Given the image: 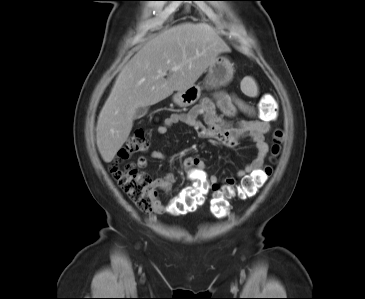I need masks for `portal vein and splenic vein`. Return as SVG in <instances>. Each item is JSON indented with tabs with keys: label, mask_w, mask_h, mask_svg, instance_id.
Instances as JSON below:
<instances>
[{
	"label": "portal vein and splenic vein",
	"mask_w": 365,
	"mask_h": 299,
	"mask_svg": "<svg viewBox=\"0 0 365 299\" xmlns=\"http://www.w3.org/2000/svg\"><path fill=\"white\" fill-rule=\"evenodd\" d=\"M179 69V67L178 66H176V67H173V68H171V72H174V71H177ZM165 75H167V72H163V73H161V76H165Z\"/></svg>",
	"instance_id": "obj_1"
}]
</instances>
